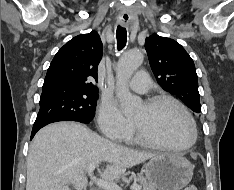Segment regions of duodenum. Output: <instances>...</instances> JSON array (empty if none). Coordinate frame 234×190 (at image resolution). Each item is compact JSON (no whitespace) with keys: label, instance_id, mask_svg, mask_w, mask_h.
I'll use <instances>...</instances> for the list:
<instances>
[{"label":"duodenum","instance_id":"obj_1","mask_svg":"<svg viewBox=\"0 0 234 190\" xmlns=\"http://www.w3.org/2000/svg\"><path fill=\"white\" fill-rule=\"evenodd\" d=\"M88 190H96V189H88Z\"/></svg>","mask_w":234,"mask_h":190}]
</instances>
